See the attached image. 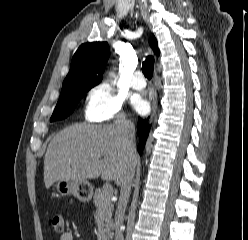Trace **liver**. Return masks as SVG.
<instances>
[{
	"instance_id": "liver-1",
	"label": "liver",
	"mask_w": 248,
	"mask_h": 240,
	"mask_svg": "<svg viewBox=\"0 0 248 240\" xmlns=\"http://www.w3.org/2000/svg\"><path fill=\"white\" fill-rule=\"evenodd\" d=\"M136 150L129 152L121 129L111 125H72L57 133L44 157V182L49 189L59 180L84 181L101 176L117 185Z\"/></svg>"
}]
</instances>
